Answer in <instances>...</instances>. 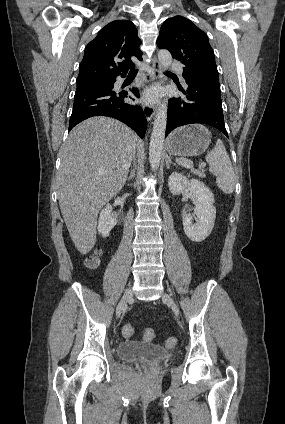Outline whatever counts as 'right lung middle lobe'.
<instances>
[{
	"label": "right lung middle lobe",
	"mask_w": 285,
	"mask_h": 424,
	"mask_svg": "<svg viewBox=\"0 0 285 424\" xmlns=\"http://www.w3.org/2000/svg\"><path fill=\"white\" fill-rule=\"evenodd\" d=\"M112 84H113V81L92 82V83H86V84H78L77 89L83 88V87H89V86H101V85H112Z\"/></svg>",
	"instance_id": "dd1d6c3e"
}]
</instances>
